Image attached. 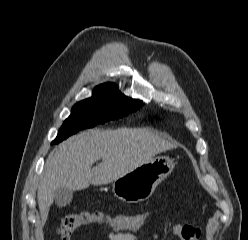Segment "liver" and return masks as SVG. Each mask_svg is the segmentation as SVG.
Wrapping results in <instances>:
<instances>
[{
  "mask_svg": "<svg viewBox=\"0 0 248 240\" xmlns=\"http://www.w3.org/2000/svg\"><path fill=\"white\" fill-rule=\"evenodd\" d=\"M172 148L173 144L142 129H93L69 138L49 154L40 179L37 201L42 225L59 188L79 191L90 184L106 185Z\"/></svg>",
  "mask_w": 248,
  "mask_h": 240,
  "instance_id": "obj_1",
  "label": "liver"
}]
</instances>
